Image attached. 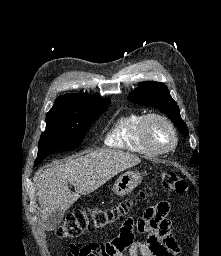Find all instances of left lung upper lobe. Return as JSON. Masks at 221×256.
Returning a JSON list of instances; mask_svg holds the SVG:
<instances>
[{"label": "left lung upper lobe", "instance_id": "obj_1", "mask_svg": "<svg viewBox=\"0 0 221 256\" xmlns=\"http://www.w3.org/2000/svg\"><path fill=\"white\" fill-rule=\"evenodd\" d=\"M128 99L133 103L159 109L174 122L183 135H188V128L181 119L179 107L170 96L167 86L163 83L146 82L131 92ZM199 160L198 153L193 151V157L190 162L200 166Z\"/></svg>", "mask_w": 221, "mask_h": 256}]
</instances>
